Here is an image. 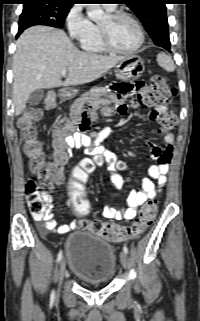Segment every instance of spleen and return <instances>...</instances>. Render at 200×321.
<instances>
[{
    "label": "spleen",
    "instance_id": "1",
    "mask_svg": "<svg viewBox=\"0 0 200 321\" xmlns=\"http://www.w3.org/2000/svg\"><path fill=\"white\" fill-rule=\"evenodd\" d=\"M157 62H158V65L162 67L164 70H166L167 72H173L176 68L172 58L163 52L157 55Z\"/></svg>",
    "mask_w": 200,
    "mask_h": 321
}]
</instances>
